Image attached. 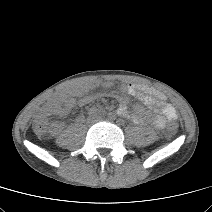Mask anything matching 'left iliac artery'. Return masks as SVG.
Listing matches in <instances>:
<instances>
[{
  "mask_svg": "<svg viewBox=\"0 0 212 212\" xmlns=\"http://www.w3.org/2000/svg\"><path fill=\"white\" fill-rule=\"evenodd\" d=\"M117 122H118L119 124H121V123H122V121H121V120H118Z\"/></svg>",
  "mask_w": 212,
  "mask_h": 212,
  "instance_id": "left-iliac-artery-1",
  "label": "left iliac artery"
}]
</instances>
